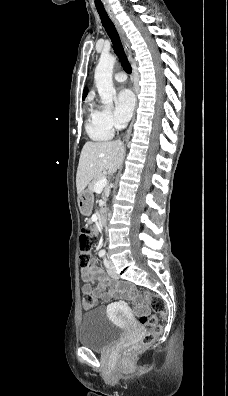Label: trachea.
I'll use <instances>...</instances> for the list:
<instances>
[{"label":"trachea","mask_w":228,"mask_h":396,"mask_svg":"<svg viewBox=\"0 0 228 396\" xmlns=\"http://www.w3.org/2000/svg\"><path fill=\"white\" fill-rule=\"evenodd\" d=\"M96 9L99 13L102 25L105 28L108 36L110 37V39L112 41L116 55L118 56L124 70L130 74L132 71L131 65L129 64L128 59L125 55L122 43L120 41L118 32H117L113 22L108 17L104 7L96 6Z\"/></svg>","instance_id":"trachea-1"}]
</instances>
